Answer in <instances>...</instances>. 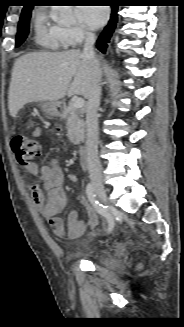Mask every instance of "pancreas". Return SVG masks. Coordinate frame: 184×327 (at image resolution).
<instances>
[{"label":"pancreas","mask_w":184,"mask_h":327,"mask_svg":"<svg viewBox=\"0 0 184 327\" xmlns=\"http://www.w3.org/2000/svg\"><path fill=\"white\" fill-rule=\"evenodd\" d=\"M68 138L74 144H79L85 137V123L78 109L69 108L66 116Z\"/></svg>","instance_id":"obj_1"}]
</instances>
